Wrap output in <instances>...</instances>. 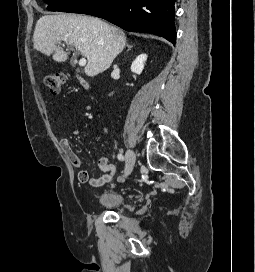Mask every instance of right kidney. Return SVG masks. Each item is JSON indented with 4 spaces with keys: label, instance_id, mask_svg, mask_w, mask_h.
I'll return each mask as SVG.
<instances>
[{
    "label": "right kidney",
    "instance_id": "right-kidney-1",
    "mask_svg": "<svg viewBox=\"0 0 255 272\" xmlns=\"http://www.w3.org/2000/svg\"><path fill=\"white\" fill-rule=\"evenodd\" d=\"M147 60L146 54L139 55L132 63L131 65V71L135 74H141L145 65V62Z\"/></svg>",
    "mask_w": 255,
    "mask_h": 272
}]
</instances>
